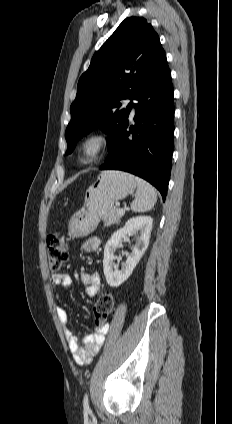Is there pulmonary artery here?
Wrapping results in <instances>:
<instances>
[{
    "mask_svg": "<svg viewBox=\"0 0 232 424\" xmlns=\"http://www.w3.org/2000/svg\"><path fill=\"white\" fill-rule=\"evenodd\" d=\"M125 103L126 104H133L134 103V101H133V99H126L125 100ZM134 114H135V109H134V107H132V109H131V116L133 117L134 116Z\"/></svg>",
    "mask_w": 232,
    "mask_h": 424,
    "instance_id": "1",
    "label": "pulmonary artery"
}]
</instances>
